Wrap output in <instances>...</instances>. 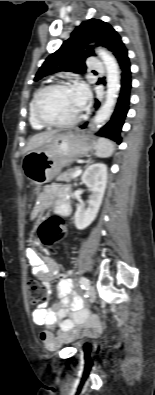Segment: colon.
I'll use <instances>...</instances> for the list:
<instances>
[{
  "mask_svg": "<svg viewBox=\"0 0 155 395\" xmlns=\"http://www.w3.org/2000/svg\"><path fill=\"white\" fill-rule=\"evenodd\" d=\"M63 221L62 215H47V220L40 224V227L36 229V234L40 236L42 244L53 250L52 254L57 255L58 251L54 250L58 241H61L65 225L61 223ZM29 289V303L36 305L43 303L47 299L46 289L39 284L36 280L31 279L28 281Z\"/></svg>",
  "mask_w": 155,
  "mask_h": 395,
  "instance_id": "obj_1",
  "label": "colon"
}]
</instances>
